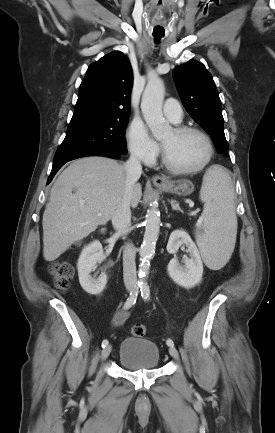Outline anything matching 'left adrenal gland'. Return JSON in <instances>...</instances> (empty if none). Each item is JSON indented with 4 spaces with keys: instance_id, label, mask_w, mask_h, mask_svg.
I'll use <instances>...</instances> for the list:
<instances>
[{
    "instance_id": "a2214340",
    "label": "left adrenal gland",
    "mask_w": 275,
    "mask_h": 433,
    "mask_svg": "<svg viewBox=\"0 0 275 433\" xmlns=\"http://www.w3.org/2000/svg\"><path fill=\"white\" fill-rule=\"evenodd\" d=\"M171 207H172L173 210H176V211H180V212H182L181 208L179 207V204L176 203V202L173 201V200L171 201Z\"/></svg>"
}]
</instances>
